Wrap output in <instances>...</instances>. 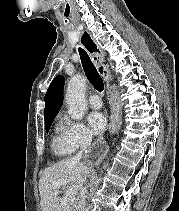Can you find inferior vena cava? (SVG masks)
Here are the masks:
<instances>
[{
  "label": "inferior vena cava",
  "instance_id": "obj_1",
  "mask_svg": "<svg viewBox=\"0 0 179 211\" xmlns=\"http://www.w3.org/2000/svg\"><path fill=\"white\" fill-rule=\"evenodd\" d=\"M91 136H88L85 139L84 145L82 146L81 150L76 154V156L74 157V159L76 160H80L82 158L83 152L86 150V148L90 145L91 143ZM86 197H87V188L84 187L81 190V195H80V199H79V207H78V211H87L86 210Z\"/></svg>",
  "mask_w": 179,
  "mask_h": 211
}]
</instances>
